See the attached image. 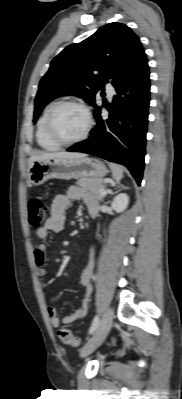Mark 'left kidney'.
I'll return each mask as SVG.
<instances>
[{
    "instance_id": "obj_1",
    "label": "left kidney",
    "mask_w": 182,
    "mask_h": 399,
    "mask_svg": "<svg viewBox=\"0 0 182 399\" xmlns=\"http://www.w3.org/2000/svg\"><path fill=\"white\" fill-rule=\"evenodd\" d=\"M129 204V197L125 193L118 194L112 201L111 206L117 213L123 212Z\"/></svg>"
}]
</instances>
